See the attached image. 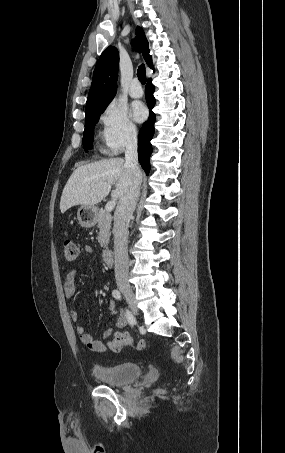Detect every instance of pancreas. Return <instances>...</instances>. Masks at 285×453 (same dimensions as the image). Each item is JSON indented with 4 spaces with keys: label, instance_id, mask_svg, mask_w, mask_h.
I'll return each mask as SVG.
<instances>
[{
    "label": "pancreas",
    "instance_id": "cf45deb5",
    "mask_svg": "<svg viewBox=\"0 0 285 453\" xmlns=\"http://www.w3.org/2000/svg\"><path fill=\"white\" fill-rule=\"evenodd\" d=\"M112 216L106 210L101 209L97 214V227L99 228L98 242L101 247L106 248L109 243Z\"/></svg>",
    "mask_w": 285,
    "mask_h": 453
}]
</instances>
